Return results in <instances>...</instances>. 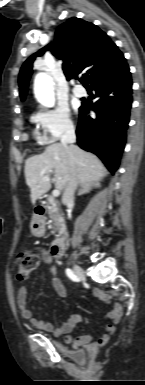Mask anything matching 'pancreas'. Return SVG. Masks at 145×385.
<instances>
[{
	"label": "pancreas",
	"instance_id": "pancreas-1",
	"mask_svg": "<svg viewBox=\"0 0 145 385\" xmlns=\"http://www.w3.org/2000/svg\"><path fill=\"white\" fill-rule=\"evenodd\" d=\"M48 215L50 219L54 222V228L61 225L62 217L58 213V207L53 199H49Z\"/></svg>",
	"mask_w": 145,
	"mask_h": 385
}]
</instances>
